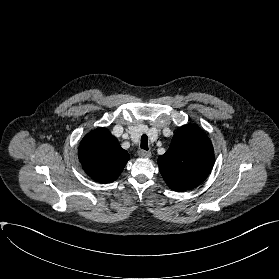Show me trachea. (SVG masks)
<instances>
[{"instance_id": "trachea-1", "label": "trachea", "mask_w": 279, "mask_h": 279, "mask_svg": "<svg viewBox=\"0 0 279 279\" xmlns=\"http://www.w3.org/2000/svg\"><path fill=\"white\" fill-rule=\"evenodd\" d=\"M140 147L144 150H148V137H147V135H142Z\"/></svg>"}]
</instances>
